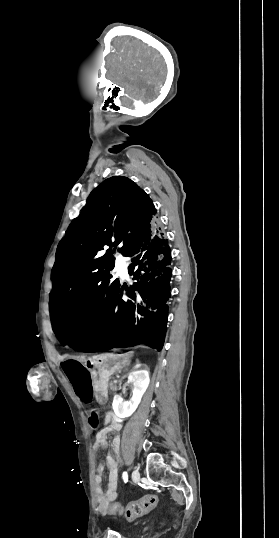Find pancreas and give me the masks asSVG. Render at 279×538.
Here are the masks:
<instances>
[{"label":"pancreas","mask_w":279,"mask_h":538,"mask_svg":"<svg viewBox=\"0 0 279 538\" xmlns=\"http://www.w3.org/2000/svg\"><path fill=\"white\" fill-rule=\"evenodd\" d=\"M109 385H112L114 389L119 388V383H117L116 380H109Z\"/></svg>","instance_id":"1"}]
</instances>
